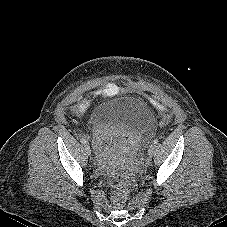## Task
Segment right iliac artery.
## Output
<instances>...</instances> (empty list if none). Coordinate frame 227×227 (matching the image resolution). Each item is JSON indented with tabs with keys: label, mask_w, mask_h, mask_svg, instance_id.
Wrapping results in <instances>:
<instances>
[{
	"label": "right iliac artery",
	"mask_w": 227,
	"mask_h": 227,
	"mask_svg": "<svg viewBox=\"0 0 227 227\" xmlns=\"http://www.w3.org/2000/svg\"><path fill=\"white\" fill-rule=\"evenodd\" d=\"M81 143H86V140L84 138L80 139Z\"/></svg>",
	"instance_id": "right-iliac-artery-1"
}]
</instances>
